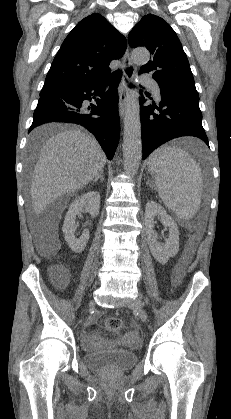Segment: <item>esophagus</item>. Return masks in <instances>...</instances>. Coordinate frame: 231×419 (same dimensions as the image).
I'll list each match as a JSON object with an SVG mask.
<instances>
[{"instance_id":"esophagus-1","label":"esophagus","mask_w":231,"mask_h":419,"mask_svg":"<svg viewBox=\"0 0 231 419\" xmlns=\"http://www.w3.org/2000/svg\"><path fill=\"white\" fill-rule=\"evenodd\" d=\"M122 69H123V78L119 85V114L121 117H123L125 114L126 103H127V99L129 95L127 82L132 80L136 71V67L131 61L128 48L122 58Z\"/></svg>"}]
</instances>
